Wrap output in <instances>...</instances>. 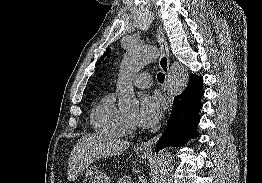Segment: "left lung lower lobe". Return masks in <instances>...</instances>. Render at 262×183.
I'll list each match as a JSON object with an SVG mask.
<instances>
[{"label":"left lung lower lobe","instance_id":"1","mask_svg":"<svg viewBox=\"0 0 262 183\" xmlns=\"http://www.w3.org/2000/svg\"><path fill=\"white\" fill-rule=\"evenodd\" d=\"M203 78L190 75L186 89L174 98L171 115L163 136L158 141L156 152L167 146L180 147L190 138L197 136V124L200 121L199 110Z\"/></svg>","mask_w":262,"mask_h":183}]
</instances>
